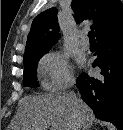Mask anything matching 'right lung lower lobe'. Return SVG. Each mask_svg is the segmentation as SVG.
I'll use <instances>...</instances> for the list:
<instances>
[{
    "label": "right lung lower lobe",
    "instance_id": "obj_1",
    "mask_svg": "<svg viewBox=\"0 0 123 130\" xmlns=\"http://www.w3.org/2000/svg\"><path fill=\"white\" fill-rule=\"evenodd\" d=\"M97 44L92 66L101 69L100 75L82 73L76 85L96 117L123 130V22L98 35Z\"/></svg>",
    "mask_w": 123,
    "mask_h": 130
}]
</instances>
